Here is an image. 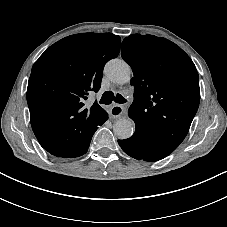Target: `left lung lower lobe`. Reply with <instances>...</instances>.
Returning <instances> with one entry per match:
<instances>
[{
	"label": "left lung lower lobe",
	"mask_w": 227,
	"mask_h": 227,
	"mask_svg": "<svg viewBox=\"0 0 227 227\" xmlns=\"http://www.w3.org/2000/svg\"><path fill=\"white\" fill-rule=\"evenodd\" d=\"M120 147L129 156L144 161H157L168 156L172 151L154 142L146 134L136 131L128 139L118 140Z\"/></svg>",
	"instance_id": "1"
}]
</instances>
